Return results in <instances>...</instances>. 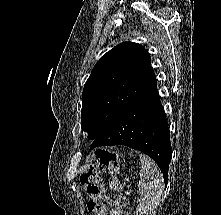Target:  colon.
<instances>
[{
    "label": "colon",
    "instance_id": "colon-1",
    "mask_svg": "<svg viewBox=\"0 0 221 215\" xmlns=\"http://www.w3.org/2000/svg\"><path fill=\"white\" fill-rule=\"evenodd\" d=\"M107 169L116 174V177L111 181L112 189L121 190L122 182L119 178L118 158L107 149L95 150L91 162L80 176V182L84 186L88 197V210L94 215H105L112 206L101 181V173ZM116 206L118 209H124L127 206L126 197L121 195L116 201Z\"/></svg>",
    "mask_w": 221,
    "mask_h": 215
}]
</instances>
